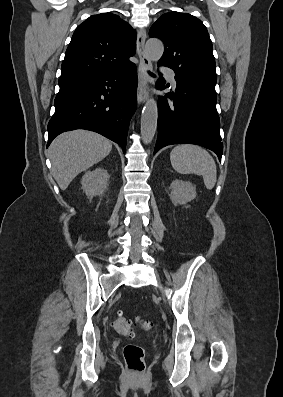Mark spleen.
<instances>
[{
  "instance_id": "spleen-1",
  "label": "spleen",
  "mask_w": 283,
  "mask_h": 397,
  "mask_svg": "<svg viewBox=\"0 0 283 397\" xmlns=\"http://www.w3.org/2000/svg\"><path fill=\"white\" fill-rule=\"evenodd\" d=\"M172 167L181 174L202 175L207 189L211 190L217 180V168L213 157L202 147L182 144L170 153Z\"/></svg>"
}]
</instances>
